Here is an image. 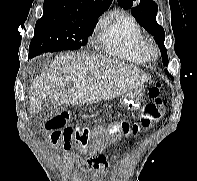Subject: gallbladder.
Masks as SVG:
<instances>
[{"instance_id":"gallbladder-1","label":"gallbladder","mask_w":197,"mask_h":181,"mask_svg":"<svg viewBox=\"0 0 197 181\" xmlns=\"http://www.w3.org/2000/svg\"><path fill=\"white\" fill-rule=\"evenodd\" d=\"M53 104L49 101V100H44L42 103V113H46L47 111H49L50 109H52Z\"/></svg>"}]
</instances>
